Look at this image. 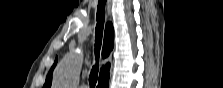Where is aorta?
<instances>
[{
    "instance_id": "obj_1",
    "label": "aorta",
    "mask_w": 223,
    "mask_h": 88,
    "mask_svg": "<svg viewBox=\"0 0 223 88\" xmlns=\"http://www.w3.org/2000/svg\"><path fill=\"white\" fill-rule=\"evenodd\" d=\"M83 55L80 51L66 55L57 66L53 83L56 88H73L79 79Z\"/></svg>"
}]
</instances>
